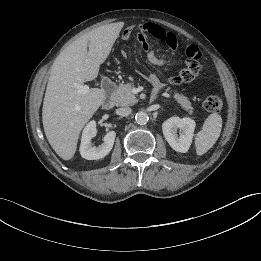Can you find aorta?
<instances>
[{"label":"aorta","instance_id":"1","mask_svg":"<svg viewBox=\"0 0 261 261\" xmlns=\"http://www.w3.org/2000/svg\"><path fill=\"white\" fill-rule=\"evenodd\" d=\"M135 120L138 124L145 125L148 122L149 117L146 112L141 111V112L136 113Z\"/></svg>","mask_w":261,"mask_h":261}]
</instances>
